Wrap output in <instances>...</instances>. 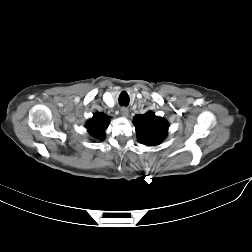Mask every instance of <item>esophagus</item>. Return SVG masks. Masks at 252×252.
Instances as JSON below:
<instances>
[{"mask_svg":"<svg viewBox=\"0 0 252 252\" xmlns=\"http://www.w3.org/2000/svg\"><path fill=\"white\" fill-rule=\"evenodd\" d=\"M121 115H122L123 117H128L129 111H128V109H127L126 107H122V108H121Z\"/></svg>","mask_w":252,"mask_h":252,"instance_id":"obj_1","label":"esophagus"}]
</instances>
